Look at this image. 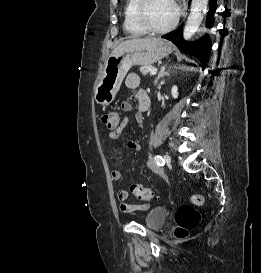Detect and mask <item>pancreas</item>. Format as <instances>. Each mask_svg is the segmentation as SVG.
Masks as SVG:
<instances>
[{
	"label": "pancreas",
	"mask_w": 261,
	"mask_h": 273,
	"mask_svg": "<svg viewBox=\"0 0 261 273\" xmlns=\"http://www.w3.org/2000/svg\"><path fill=\"white\" fill-rule=\"evenodd\" d=\"M152 70H154V67L151 65H144L142 67H140L139 71L142 75H147L148 73H150Z\"/></svg>",
	"instance_id": "cf45deb5"
}]
</instances>
